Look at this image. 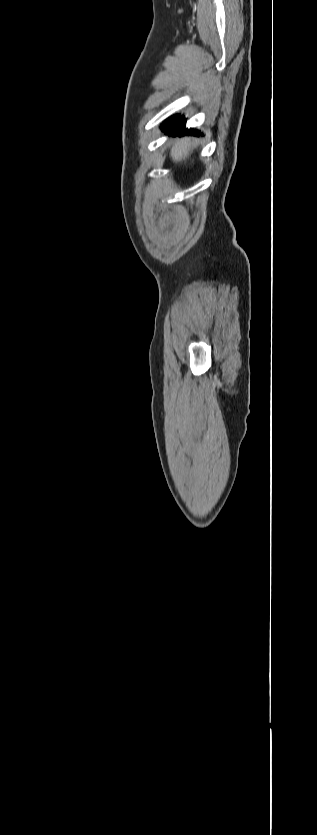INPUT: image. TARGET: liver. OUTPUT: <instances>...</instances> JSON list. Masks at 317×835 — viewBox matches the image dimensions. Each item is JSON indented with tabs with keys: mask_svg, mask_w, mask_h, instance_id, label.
Wrapping results in <instances>:
<instances>
[{
	"mask_svg": "<svg viewBox=\"0 0 317 835\" xmlns=\"http://www.w3.org/2000/svg\"><path fill=\"white\" fill-rule=\"evenodd\" d=\"M190 145H189V138H183L178 140L175 146L172 148L170 156L172 157L173 161L181 160L183 156L188 154Z\"/></svg>",
	"mask_w": 317,
	"mask_h": 835,
	"instance_id": "6515ba94",
	"label": "liver"
}]
</instances>
